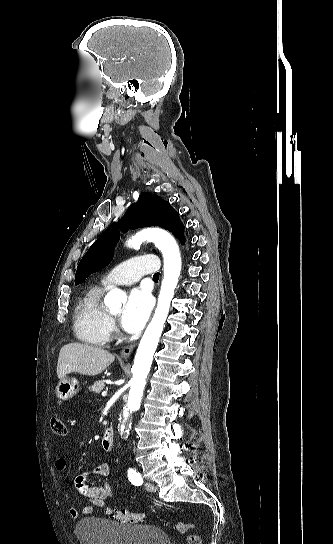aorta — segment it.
Returning a JSON list of instances; mask_svg holds the SVG:
<instances>
[{
  "mask_svg": "<svg viewBox=\"0 0 333 544\" xmlns=\"http://www.w3.org/2000/svg\"><path fill=\"white\" fill-rule=\"evenodd\" d=\"M146 240L152 241L163 254L164 278L154 316L144 332L134 359L131 388L127 406L123 411V422L120 427L121 432L125 434L127 430L125 424L129 413L138 410L140 407L146 378L169 313L170 303L174 297V291L178 284L181 271L179 248L175 239L169 233L157 228L144 229L128 240L127 245L129 247H139ZM125 301L126 294L118 288L110 290L104 298V303L110 310L120 309Z\"/></svg>",
  "mask_w": 333,
  "mask_h": 544,
  "instance_id": "aorta-1",
  "label": "aorta"
}]
</instances>
